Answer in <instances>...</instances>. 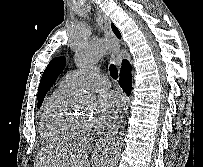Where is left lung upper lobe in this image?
<instances>
[{
    "mask_svg": "<svg viewBox=\"0 0 203 167\" xmlns=\"http://www.w3.org/2000/svg\"><path fill=\"white\" fill-rule=\"evenodd\" d=\"M65 67V58L64 57H56L52 59L43 72L39 88H38V103L37 107L39 108L42 105L43 99L48 92V90L51 88V86L56 81L57 77L60 75L62 70Z\"/></svg>",
    "mask_w": 203,
    "mask_h": 167,
    "instance_id": "obj_1",
    "label": "left lung upper lobe"
}]
</instances>
